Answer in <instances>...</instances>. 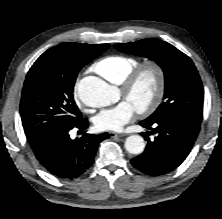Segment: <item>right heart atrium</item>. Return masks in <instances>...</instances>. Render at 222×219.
I'll use <instances>...</instances> for the list:
<instances>
[{
    "instance_id": "right-heart-atrium-1",
    "label": "right heart atrium",
    "mask_w": 222,
    "mask_h": 219,
    "mask_svg": "<svg viewBox=\"0 0 222 219\" xmlns=\"http://www.w3.org/2000/svg\"><path fill=\"white\" fill-rule=\"evenodd\" d=\"M76 99L81 101V102L85 101L84 96L81 93H79V92L76 93Z\"/></svg>"
}]
</instances>
